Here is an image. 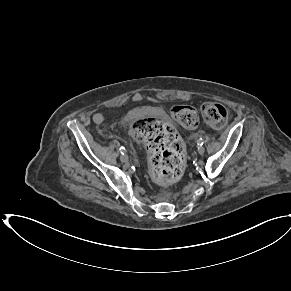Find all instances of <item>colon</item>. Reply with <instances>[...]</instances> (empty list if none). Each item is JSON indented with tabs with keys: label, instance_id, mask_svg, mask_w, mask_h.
<instances>
[{
	"label": "colon",
	"instance_id": "colon-1",
	"mask_svg": "<svg viewBox=\"0 0 291 291\" xmlns=\"http://www.w3.org/2000/svg\"><path fill=\"white\" fill-rule=\"evenodd\" d=\"M200 111L211 127L221 128L227 121V110L218 103H204ZM171 115L188 129L196 128L199 123L197 111L188 105L173 107ZM134 132L148 148L153 180L163 186L179 181L186 167V152L175 129L159 118H147L134 125Z\"/></svg>",
	"mask_w": 291,
	"mask_h": 291
}]
</instances>
